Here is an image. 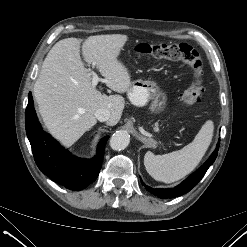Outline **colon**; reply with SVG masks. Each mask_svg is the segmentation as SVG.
Masks as SVG:
<instances>
[{
	"mask_svg": "<svg viewBox=\"0 0 247 247\" xmlns=\"http://www.w3.org/2000/svg\"><path fill=\"white\" fill-rule=\"evenodd\" d=\"M138 54L151 56L158 59L180 60L191 67L194 79L189 88L181 96V104L189 107L198 102L203 93L200 80L202 62L198 52L188 44H149L140 43L135 46Z\"/></svg>",
	"mask_w": 247,
	"mask_h": 247,
	"instance_id": "obj_1",
	"label": "colon"
}]
</instances>
